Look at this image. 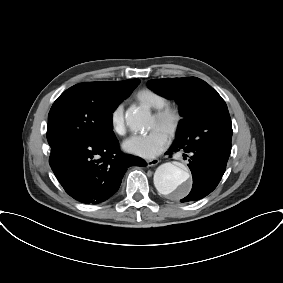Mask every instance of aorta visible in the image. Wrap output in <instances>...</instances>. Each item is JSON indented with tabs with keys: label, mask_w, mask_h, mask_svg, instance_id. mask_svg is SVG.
<instances>
[{
	"label": "aorta",
	"mask_w": 283,
	"mask_h": 283,
	"mask_svg": "<svg viewBox=\"0 0 283 283\" xmlns=\"http://www.w3.org/2000/svg\"><path fill=\"white\" fill-rule=\"evenodd\" d=\"M150 117L148 110L136 107H130L125 114L126 123L133 131L143 129ZM189 177L187 168L165 163L157 168L154 174V185L160 194L180 198L189 190Z\"/></svg>",
	"instance_id": "762f6f07"
}]
</instances>
